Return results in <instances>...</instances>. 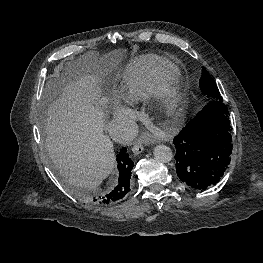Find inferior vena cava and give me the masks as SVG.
<instances>
[{
    "label": "inferior vena cava",
    "instance_id": "obj_1",
    "mask_svg": "<svg viewBox=\"0 0 263 263\" xmlns=\"http://www.w3.org/2000/svg\"><path fill=\"white\" fill-rule=\"evenodd\" d=\"M106 129L113 141L123 145L131 143L135 136V125L123 119L111 120Z\"/></svg>",
    "mask_w": 263,
    "mask_h": 263
}]
</instances>
